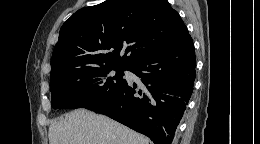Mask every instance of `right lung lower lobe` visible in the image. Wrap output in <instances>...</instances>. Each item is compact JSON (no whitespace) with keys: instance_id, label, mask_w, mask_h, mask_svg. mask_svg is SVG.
<instances>
[{"instance_id":"obj_1","label":"right lung lower lobe","mask_w":260,"mask_h":144,"mask_svg":"<svg viewBox=\"0 0 260 144\" xmlns=\"http://www.w3.org/2000/svg\"><path fill=\"white\" fill-rule=\"evenodd\" d=\"M127 70L140 79L139 85L125 81L108 97L83 108L107 115L155 144H171L195 81L191 36L141 57Z\"/></svg>"}]
</instances>
